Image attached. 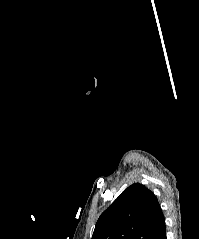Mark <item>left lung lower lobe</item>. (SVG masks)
Listing matches in <instances>:
<instances>
[{
    "instance_id": "left-lung-lower-lobe-1",
    "label": "left lung lower lobe",
    "mask_w": 199,
    "mask_h": 239,
    "mask_svg": "<svg viewBox=\"0 0 199 239\" xmlns=\"http://www.w3.org/2000/svg\"><path fill=\"white\" fill-rule=\"evenodd\" d=\"M150 239H167L166 238V227H165V218H162L157 223L153 234L151 235Z\"/></svg>"
}]
</instances>
